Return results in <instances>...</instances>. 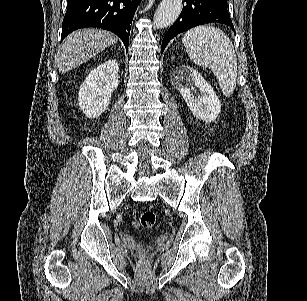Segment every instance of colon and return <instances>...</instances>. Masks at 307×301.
Here are the masks:
<instances>
[{"label":"colon","mask_w":307,"mask_h":301,"mask_svg":"<svg viewBox=\"0 0 307 301\" xmlns=\"http://www.w3.org/2000/svg\"><path fill=\"white\" fill-rule=\"evenodd\" d=\"M155 223H156L155 213L151 210H146L139 215L134 225L137 228L150 229L154 227Z\"/></svg>","instance_id":"colon-1"}]
</instances>
